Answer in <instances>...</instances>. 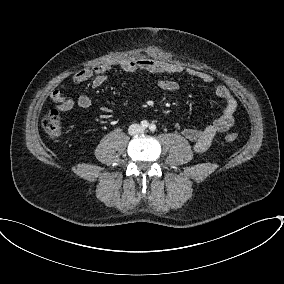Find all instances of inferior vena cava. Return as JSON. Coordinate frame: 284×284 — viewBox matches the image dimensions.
I'll list each match as a JSON object with an SVG mask.
<instances>
[{"label":"inferior vena cava","mask_w":284,"mask_h":284,"mask_svg":"<svg viewBox=\"0 0 284 284\" xmlns=\"http://www.w3.org/2000/svg\"><path fill=\"white\" fill-rule=\"evenodd\" d=\"M130 135H138L144 132V128L139 124H132L128 128Z\"/></svg>","instance_id":"obj_1"}]
</instances>
